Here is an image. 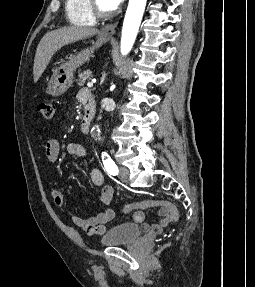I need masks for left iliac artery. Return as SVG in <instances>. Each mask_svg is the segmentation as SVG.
Instances as JSON below:
<instances>
[{
    "label": "left iliac artery",
    "instance_id": "44dca946",
    "mask_svg": "<svg viewBox=\"0 0 255 287\" xmlns=\"http://www.w3.org/2000/svg\"><path fill=\"white\" fill-rule=\"evenodd\" d=\"M102 161H103V164H104V167H105L106 171L110 175L115 176V175L118 174V167H117V165L115 164V162L111 159V157L106 152H104L102 154Z\"/></svg>",
    "mask_w": 255,
    "mask_h": 287
}]
</instances>
